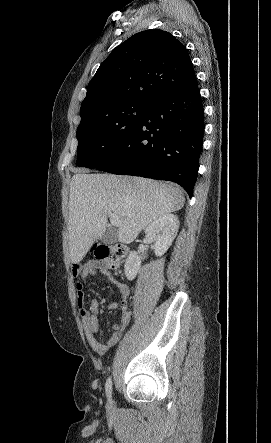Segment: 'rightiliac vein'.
Segmentation results:
<instances>
[{
    "mask_svg": "<svg viewBox=\"0 0 271 443\" xmlns=\"http://www.w3.org/2000/svg\"><path fill=\"white\" fill-rule=\"evenodd\" d=\"M109 407H112V403L111 402L109 403Z\"/></svg>",
    "mask_w": 271,
    "mask_h": 443,
    "instance_id": "right-iliac-vein-1",
    "label": "right iliac vein"
}]
</instances>
